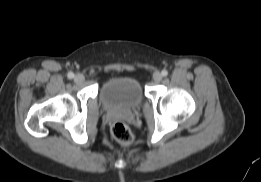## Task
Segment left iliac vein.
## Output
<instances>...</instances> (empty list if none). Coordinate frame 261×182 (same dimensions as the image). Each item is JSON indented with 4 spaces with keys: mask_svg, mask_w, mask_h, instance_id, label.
Instances as JSON below:
<instances>
[{
    "mask_svg": "<svg viewBox=\"0 0 261 182\" xmlns=\"http://www.w3.org/2000/svg\"><path fill=\"white\" fill-rule=\"evenodd\" d=\"M153 80L159 83L162 80V74L159 71L153 73Z\"/></svg>",
    "mask_w": 261,
    "mask_h": 182,
    "instance_id": "1",
    "label": "left iliac vein"
}]
</instances>
